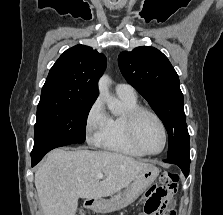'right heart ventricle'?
Returning a JSON list of instances; mask_svg holds the SVG:
<instances>
[{"mask_svg": "<svg viewBox=\"0 0 223 215\" xmlns=\"http://www.w3.org/2000/svg\"><path fill=\"white\" fill-rule=\"evenodd\" d=\"M120 98L123 102L124 110L120 114L113 113L112 115H108V127L100 138L99 143L103 148L114 152L131 156H140L129 142L127 134L128 115L139 108L140 105L136 98Z\"/></svg>", "mask_w": 223, "mask_h": 215, "instance_id": "e07e8e85", "label": "right heart ventricle"}]
</instances>
